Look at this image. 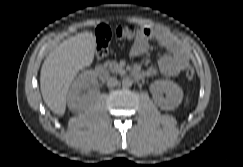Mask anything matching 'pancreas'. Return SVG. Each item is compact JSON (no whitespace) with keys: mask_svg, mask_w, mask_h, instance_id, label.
<instances>
[{"mask_svg":"<svg viewBox=\"0 0 243 167\" xmlns=\"http://www.w3.org/2000/svg\"><path fill=\"white\" fill-rule=\"evenodd\" d=\"M112 73L123 72L124 69L115 61H108L104 64Z\"/></svg>","mask_w":243,"mask_h":167,"instance_id":"pancreas-1","label":"pancreas"}]
</instances>
